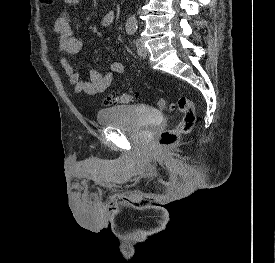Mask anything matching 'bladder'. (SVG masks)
Segmentation results:
<instances>
[{"label":"bladder","instance_id":"obj_1","mask_svg":"<svg viewBox=\"0 0 275 263\" xmlns=\"http://www.w3.org/2000/svg\"><path fill=\"white\" fill-rule=\"evenodd\" d=\"M97 123L102 127L124 130H141L158 125L160 112L148 105H122L101 109L96 113Z\"/></svg>","mask_w":275,"mask_h":263}]
</instances>
